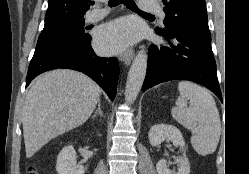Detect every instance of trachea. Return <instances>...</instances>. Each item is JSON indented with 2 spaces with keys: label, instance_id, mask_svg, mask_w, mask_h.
I'll use <instances>...</instances> for the list:
<instances>
[{
  "label": "trachea",
  "instance_id": "trachea-1",
  "mask_svg": "<svg viewBox=\"0 0 249 174\" xmlns=\"http://www.w3.org/2000/svg\"><path fill=\"white\" fill-rule=\"evenodd\" d=\"M92 4H94V2ZM108 4L110 7H115L119 4H124L127 8H129L130 10L134 12L150 15L146 12L139 10L134 0H109Z\"/></svg>",
  "mask_w": 249,
  "mask_h": 174
}]
</instances>
